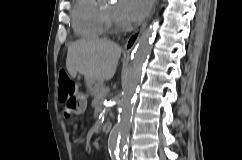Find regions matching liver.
Masks as SVG:
<instances>
[{
  "label": "liver",
  "mask_w": 242,
  "mask_h": 160,
  "mask_svg": "<svg viewBox=\"0 0 242 160\" xmlns=\"http://www.w3.org/2000/svg\"><path fill=\"white\" fill-rule=\"evenodd\" d=\"M120 56L121 47L114 42L80 39L68 47L66 68L72 77L79 73L103 83L115 75Z\"/></svg>",
  "instance_id": "obj_1"
}]
</instances>
